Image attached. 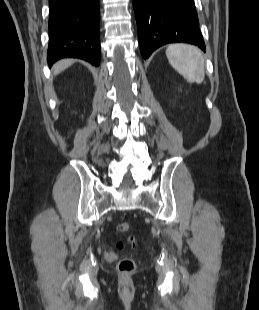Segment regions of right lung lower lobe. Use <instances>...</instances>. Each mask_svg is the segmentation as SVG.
<instances>
[{"mask_svg": "<svg viewBox=\"0 0 259 310\" xmlns=\"http://www.w3.org/2000/svg\"><path fill=\"white\" fill-rule=\"evenodd\" d=\"M47 62L80 58L100 64L99 0H49Z\"/></svg>", "mask_w": 259, "mask_h": 310, "instance_id": "98d812e1", "label": "right lung lower lobe"}]
</instances>
